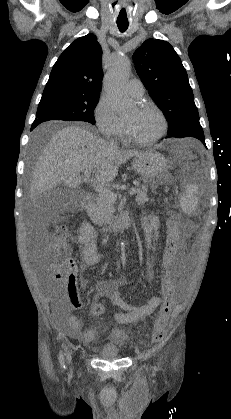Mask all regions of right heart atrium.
<instances>
[{
	"label": "right heart atrium",
	"instance_id": "1",
	"mask_svg": "<svg viewBox=\"0 0 231 419\" xmlns=\"http://www.w3.org/2000/svg\"><path fill=\"white\" fill-rule=\"evenodd\" d=\"M94 116L96 123L104 136L120 138L125 134V123L114 112L107 98L100 97L94 110Z\"/></svg>",
	"mask_w": 231,
	"mask_h": 419
}]
</instances>
